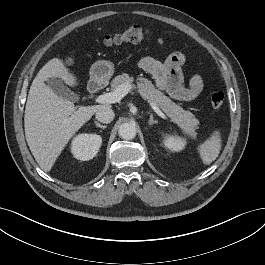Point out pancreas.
I'll list each match as a JSON object with an SVG mask.
<instances>
[{"label": "pancreas", "instance_id": "obj_1", "mask_svg": "<svg viewBox=\"0 0 265 265\" xmlns=\"http://www.w3.org/2000/svg\"><path fill=\"white\" fill-rule=\"evenodd\" d=\"M134 78L123 73L116 76L111 83L112 90H116L120 85L129 84L131 89L136 88L133 84ZM137 87L139 92L146 94L160 109H162L171 120L176 123L180 129L189 138H196V129L199 125V120L190 112L174 103L170 98L159 91L151 81L146 78L137 79Z\"/></svg>", "mask_w": 265, "mask_h": 265}]
</instances>
